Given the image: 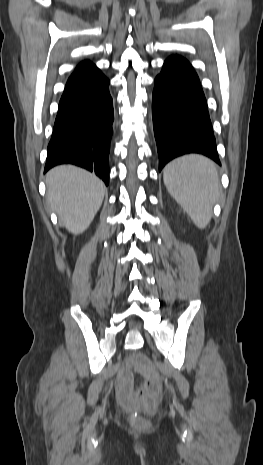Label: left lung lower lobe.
Masks as SVG:
<instances>
[{
    "label": "left lung lower lobe",
    "mask_w": 263,
    "mask_h": 465,
    "mask_svg": "<svg viewBox=\"0 0 263 465\" xmlns=\"http://www.w3.org/2000/svg\"><path fill=\"white\" fill-rule=\"evenodd\" d=\"M152 97L159 171L175 157L200 153L220 164L207 102L190 63L169 57L155 78Z\"/></svg>",
    "instance_id": "left-lung-lower-lobe-1"
}]
</instances>
